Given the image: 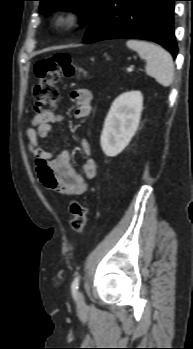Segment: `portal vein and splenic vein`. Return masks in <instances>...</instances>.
<instances>
[{"mask_svg":"<svg viewBox=\"0 0 193 349\" xmlns=\"http://www.w3.org/2000/svg\"><path fill=\"white\" fill-rule=\"evenodd\" d=\"M133 68H134L133 66H130V67L127 68V71H128V72H132V71H133Z\"/></svg>","mask_w":193,"mask_h":349,"instance_id":"obj_1","label":"portal vein and splenic vein"}]
</instances>
